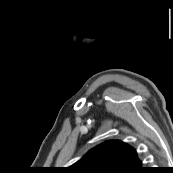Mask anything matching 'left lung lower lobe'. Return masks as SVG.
Here are the masks:
<instances>
[{
  "label": "left lung lower lobe",
  "mask_w": 173,
  "mask_h": 173,
  "mask_svg": "<svg viewBox=\"0 0 173 173\" xmlns=\"http://www.w3.org/2000/svg\"><path fill=\"white\" fill-rule=\"evenodd\" d=\"M147 172H148L147 169H144V171L142 173H147Z\"/></svg>",
  "instance_id": "1"
}]
</instances>
